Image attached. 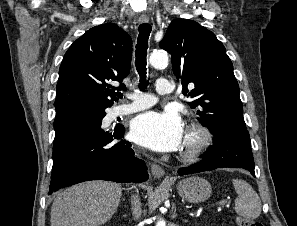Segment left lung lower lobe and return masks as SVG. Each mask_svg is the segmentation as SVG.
<instances>
[{"label": "left lung lower lobe", "instance_id": "obj_1", "mask_svg": "<svg viewBox=\"0 0 297 226\" xmlns=\"http://www.w3.org/2000/svg\"><path fill=\"white\" fill-rule=\"evenodd\" d=\"M211 133L214 135V142L202 155L204 159L192 166L179 169L178 174L186 175L216 168L234 167L244 168L255 176V164L248 131L219 129Z\"/></svg>", "mask_w": 297, "mask_h": 226}]
</instances>
